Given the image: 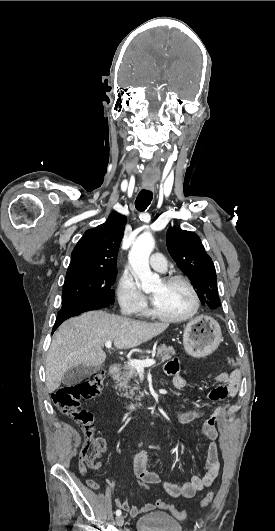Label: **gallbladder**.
Here are the masks:
<instances>
[{
    "label": "gallbladder",
    "instance_id": "obj_1",
    "mask_svg": "<svg viewBox=\"0 0 275 531\" xmlns=\"http://www.w3.org/2000/svg\"><path fill=\"white\" fill-rule=\"evenodd\" d=\"M103 365H98V367H85V365H79V367H71L67 373H65L62 383L63 385H79L81 381L91 377L97 371H101Z\"/></svg>",
    "mask_w": 275,
    "mask_h": 531
}]
</instances>
